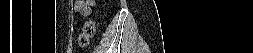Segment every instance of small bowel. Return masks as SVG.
I'll list each match as a JSON object with an SVG mask.
<instances>
[{
	"label": "small bowel",
	"mask_w": 253,
	"mask_h": 53,
	"mask_svg": "<svg viewBox=\"0 0 253 53\" xmlns=\"http://www.w3.org/2000/svg\"><path fill=\"white\" fill-rule=\"evenodd\" d=\"M94 6L95 1L93 0H76L74 2V12L87 15Z\"/></svg>",
	"instance_id": "small-bowel-1"
}]
</instances>
